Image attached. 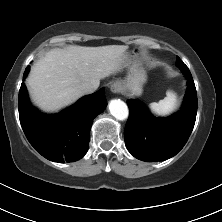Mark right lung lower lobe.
<instances>
[{
	"mask_svg": "<svg viewBox=\"0 0 222 222\" xmlns=\"http://www.w3.org/2000/svg\"><path fill=\"white\" fill-rule=\"evenodd\" d=\"M29 68H26L23 80ZM106 105L102 88L59 114L44 115L30 105L24 83L19 91L18 109L22 129L35 150L54 162H73L86 154L92 121Z\"/></svg>",
	"mask_w": 222,
	"mask_h": 222,
	"instance_id": "1",
	"label": "right lung lower lobe"
}]
</instances>
